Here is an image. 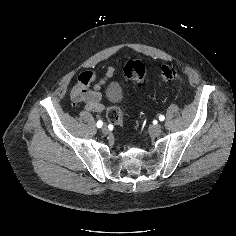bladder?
<instances>
[{
  "mask_svg": "<svg viewBox=\"0 0 236 236\" xmlns=\"http://www.w3.org/2000/svg\"><path fill=\"white\" fill-rule=\"evenodd\" d=\"M123 92L116 83H111L106 89V99L109 103L117 104L122 100Z\"/></svg>",
  "mask_w": 236,
  "mask_h": 236,
  "instance_id": "31cf9c89",
  "label": "bladder"
}]
</instances>
